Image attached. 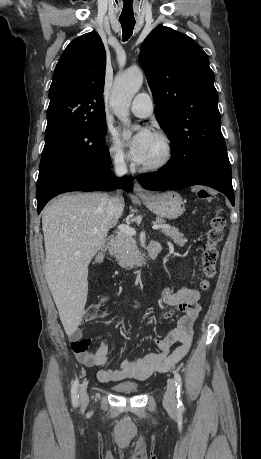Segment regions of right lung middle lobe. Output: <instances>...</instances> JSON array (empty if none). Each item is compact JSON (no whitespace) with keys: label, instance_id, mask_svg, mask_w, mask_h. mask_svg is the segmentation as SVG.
<instances>
[{"label":"right lung middle lobe","instance_id":"1","mask_svg":"<svg viewBox=\"0 0 261 459\" xmlns=\"http://www.w3.org/2000/svg\"><path fill=\"white\" fill-rule=\"evenodd\" d=\"M106 119L99 122L46 131L37 190L55 176L79 167H109L105 148Z\"/></svg>","mask_w":261,"mask_h":459}]
</instances>
